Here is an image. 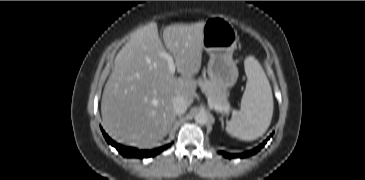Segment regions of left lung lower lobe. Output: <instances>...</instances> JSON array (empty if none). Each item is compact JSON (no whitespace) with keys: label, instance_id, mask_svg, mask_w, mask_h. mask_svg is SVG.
I'll use <instances>...</instances> for the list:
<instances>
[{"label":"left lung lower lobe","instance_id":"0a47b994","mask_svg":"<svg viewBox=\"0 0 365 180\" xmlns=\"http://www.w3.org/2000/svg\"><path fill=\"white\" fill-rule=\"evenodd\" d=\"M272 136V134H271ZM269 139V137L267 138V140ZM267 141H264L262 144H260L258 147H256L255 149L253 150H250V151H247L245 153H241V154H228V153H225V152H220L221 154H223L225 157L227 158H235V157H240V158H244V157H247V156H250V155H254L256 154L258 151H260V149L262 147H264V145L266 144Z\"/></svg>","mask_w":365,"mask_h":180}]
</instances>
